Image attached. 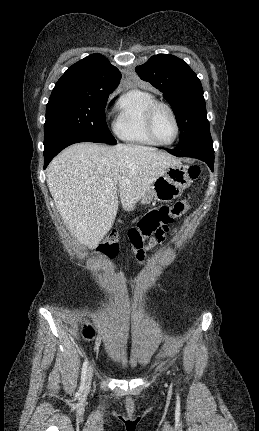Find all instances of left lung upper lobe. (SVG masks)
Listing matches in <instances>:
<instances>
[{
  "label": "left lung upper lobe",
  "instance_id": "left-lung-upper-lobe-1",
  "mask_svg": "<svg viewBox=\"0 0 259 431\" xmlns=\"http://www.w3.org/2000/svg\"><path fill=\"white\" fill-rule=\"evenodd\" d=\"M139 77L158 88L175 114L180 129L179 147L213 148L203 88L195 72L176 56L158 54L136 67Z\"/></svg>",
  "mask_w": 259,
  "mask_h": 431
}]
</instances>
